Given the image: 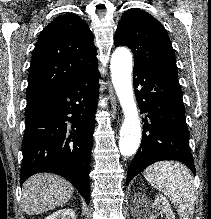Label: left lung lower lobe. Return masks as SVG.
I'll use <instances>...</instances> for the list:
<instances>
[{"mask_svg":"<svg viewBox=\"0 0 211 219\" xmlns=\"http://www.w3.org/2000/svg\"><path fill=\"white\" fill-rule=\"evenodd\" d=\"M133 80L141 113L146 116L127 185L147 166L162 160L183 162L195 174L177 69L134 64Z\"/></svg>","mask_w":211,"mask_h":219,"instance_id":"obj_1","label":"left lung lower lobe"}]
</instances>
